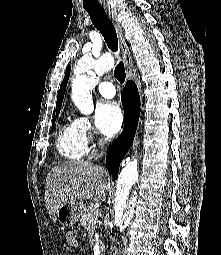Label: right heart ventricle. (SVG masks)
<instances>
[{
	"label": "right heart ventricle",
	"instance_id": "right-heart-ventricle-1",
	"mask_svg": "<svg viewBox=\"0 0 221 255\" xmlns=\"http://www.w3.org/2000/svg\"><path fill=\"white\" fill-rule=\"evenodd\" d=\"M56 145L59 154L67 160H80L87 152V140L78 119L66 120L58 130Z\"/></svg>",
	"mask_w": 221,
	"mask_h": 255
}]
</instances>
